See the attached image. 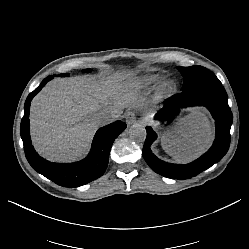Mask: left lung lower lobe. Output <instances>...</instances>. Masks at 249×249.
<instances>
[{
    "mask_svg": "<svg viewBox=\"0 0 249 249\" xmlns=\"http://www.w3.org/2000/svg\"><path fill=\"white\" fill-rule=\"evenodd\" d=\"M189 106L206 107L211 112L216 126V138L212 147L189 164H171L158 159L150 149L157 135L150 126L146 127L147 137L143 147V157L152 170L171 179H189L198 175L220 161L230 145L233 115L228 105L227 93L221 84L205 85L173 95L163 103V107L156 114V119L170 121L181 108Z\"/></svg>",
    "mask_w": 249,
    "mask_h": 249,
    "instance_id": "obj_1",
    "label": "left lung lower lobe"
}]
</instances>
